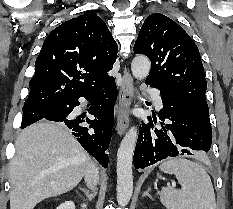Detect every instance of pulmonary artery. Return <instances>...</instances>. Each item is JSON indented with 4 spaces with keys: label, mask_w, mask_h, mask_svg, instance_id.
<instances>
[{
    "label": "pulmonary artery",
    "mask_w": 233,
    "mask_h": 209,
    "mask_svg": "<svg viewBox=\"0 0 233 209\" xmlns=\"http://www.w3.org/2000/svg\"><path fill=\"white\" fill-rule=\"evenodd\" d=\"M147 91L153 96L154 104L158 109H162L163 103L160 92L154 88H147Z\"/></svg>",
    "instance_id": "e3ab8cb5"
}]
</instances>
